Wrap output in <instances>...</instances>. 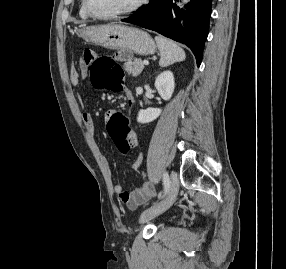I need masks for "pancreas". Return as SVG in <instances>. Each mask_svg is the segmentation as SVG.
<instances>
[{
	"label": "pancreas",
	"instance_id": "obj_1",
	"mask_svg": "<svg viewBox=\"0 0 286 269\" xmlns=\"http://www.w3.org/2000/svg\"><path fill=\"white\" fill-rule=\"evenodd\" d=\"M125 70L130 75L136 77L144 69V64L141 59L128 60L124 63Z\"/></svg>",
	"mask_w": 286,
	"mask_h": 269
}]
</instances>
